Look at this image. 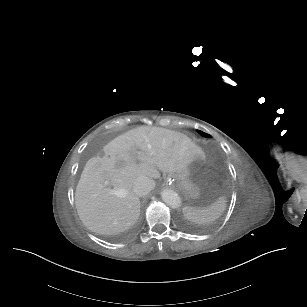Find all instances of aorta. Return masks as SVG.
Returning <instances> with one entry per match:
<instances>
[{
    "label": "aorta",
    "instance_id": "obj_1",
    "mask_svg": "<svg viewBox=\"0 0 307 307\" xmlns=\"http://www.w3.org/2000/svg\"><path fill=\"white\" fill-rule=\"evenodd\" d=\"M162 199L172 208H179L181 205L180 197L173 190H164L162 192Z\"/></svg>",
    "mask_w": 307,
    "mask_h": 307
}]
</instances>
